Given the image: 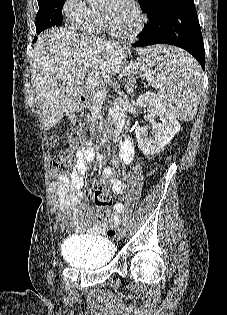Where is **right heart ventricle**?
I'll return each instance as SVG.
<instances>
[{
	"label": "right heart ventricle",
	"instance_id": "right-heart-ventricle-1",
	"mask_svg": "<svg viewBox=\"0 0 227 315\" xmlns=\"http://www.w3.org/2000/svg\"><path fill=\"white\" fill-rule=\"evenodd\" d=\"M89 34H100L104 30V25L101 17L94 19L83 28Z\"/></svg>",
	"mask_w": 227,
	"mask_h": 315
}]
</instances>
